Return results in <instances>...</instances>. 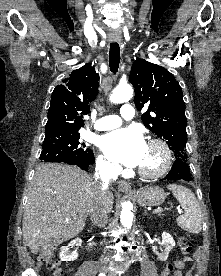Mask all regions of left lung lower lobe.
Returning a JSON list of instances; mask_svg holds the SVG:
<instances>
[{"instance_id":"1","label":"left lung lower lobe","mask_w":221,"mask_h":276,"mask_svg":"<svg viewBox=\"0 0 221 276\" xmlns=\"http://www.w3.org/2000/svg\"><path fill=\"white\" fill-rule=\"evenodd\" d=\"M184 180V181H191L192 178L190 176V170L189 166L186 162V160L183 159H176L173 163L171 171L168 173V175L162 179V180Z\"/></svg>"}]
</instances>
